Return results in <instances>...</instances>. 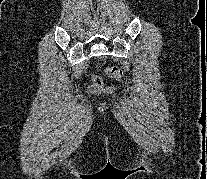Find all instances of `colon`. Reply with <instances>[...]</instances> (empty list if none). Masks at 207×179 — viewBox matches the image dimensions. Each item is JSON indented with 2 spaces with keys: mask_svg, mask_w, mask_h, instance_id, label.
<instances>
[{
  "mask_svg": "<svg viewBox=\"0 0 207 179\" xmlns=\"http://www.w3.org/2000/svg\"><path fill=\"white\" fill-rule=\"evenodd\" d=\"M105 72L109 77L114 79H120L123 74V71L118 67L106 68ZM104 89L105 87L102 79L99 76H93L91 80V84L88 87V92L90 94H98L104 91Z\"/></svg>",
  "mask_w": 207,
  "mask_h": 179,
  "instance_id": "obj_1",
  "label": "colon"
}]
</instances>
